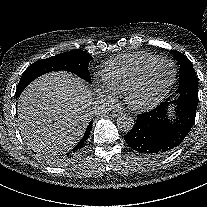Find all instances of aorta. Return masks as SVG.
Returning a JSON list of instances; mask_svg holds the SVG:
<instances>
[{
	"instance_id": "obj_1",
	"label": "aorta",
	"mask_w": 207,
	"mask_h": 207,
	"mask_svg": "<svg viewBox=\"0 0 207 207\" xmlns=\"http://www.w3.org/2000/svg\"><path fill=\"white\" fill-rule=\"evenodd\" d=\"M135 125V121L132 116L128 114H121L117 118V126L121 131L129 132Z\"/></svg>"
}]
</instances>
